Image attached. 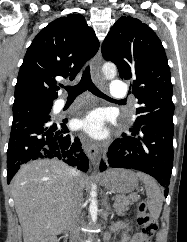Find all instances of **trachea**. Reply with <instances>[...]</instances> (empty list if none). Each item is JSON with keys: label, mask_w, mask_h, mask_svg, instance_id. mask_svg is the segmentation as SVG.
I'll use <instances>...</instances> for the list:
<instances>
[{"label": "trachea", "mask_w": 187, "mask_h": 242, "mask_svg": "<svg viewBox=\"0 0 187 242\" xmlns=\"http://www.w3.org/2000/svg\"><path fill=\"white\" fill-rule=\"evenodd\" d=\"M65 90L68 92V97L69 98H75L81 93L85 92L86 90L90 91L94 95L105 98V99H110L113 100L112 98L108 97L105 95L103 92H101L92 82L91 76H90V67L87 66L80 82L75 85V86H66Z\"/></svg>", "instance_id": "3493384b"}]
</instances>
